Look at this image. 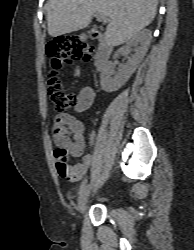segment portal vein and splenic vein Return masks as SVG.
Listing matches in <instances>:
<instances>
[{
  "label": "portal vein and splenic vein",
  "instance_id": "obj_1",
  "mask_svg": "<svg viewBox=\"0 0 194 250\" xmlns=\"http://www.w3.org/2000/svg\"><path fill=\"white\" fill-rule=\"evenodd\" d=\"M95 17H96L97 19H99V20H102L103 22L108 21V18H107L106 16H104V15H102V14H99V13H96V14H95Z\"/></svg>",
  "mask_w": 194,
  "mask_h": 250
}]
</instances>
